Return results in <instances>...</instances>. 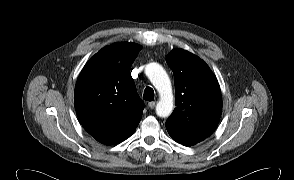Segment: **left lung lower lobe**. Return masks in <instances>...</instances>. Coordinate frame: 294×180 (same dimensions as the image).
<instances>
[{
	"mask_svg": "<svg viewBox=\"0 0 294 180\" xmlns=\"http://www.w3.org/2000/svg\"><path fill=\"white\" fill-rule=\"evenodd\" d=\"M166 129L174 141H176L184 146L195 145L210 136V135L187 134V133L179 132V131L174 130L169 127H166Z\"/></svg>",
	"mask_w": 294,
	"mask_h": 180,
	"instance_id": "0a47b994",
	"label": "left lung lower lobe"
}]
</instances>
